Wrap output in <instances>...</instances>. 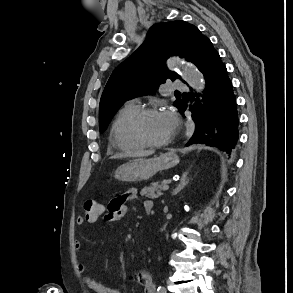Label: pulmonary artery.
I'll return each instance as SVG.
<instances>
[{
	"mask_svg": "<svg viewBox=\"0 0 293 293\" xmlns=\"http://www.w3.org/2000/svg\"><path fill=\"white\" fill-rule=\"evenodd\" d=\"M171 89H173V90H184V89H186V86L181 84V83H179V82H173L171 84ZM137 102H138V100L135 99V100L130 101L129 103L137 104Z\"/></svg>",
	"mask_w": 293,
	"mask_h": 293,
	"instance_id": "1",
	"label": "pulmonary artery"
}]
</instances>
